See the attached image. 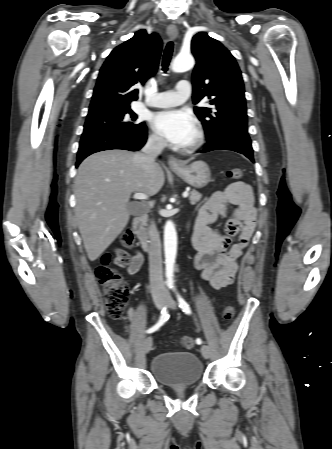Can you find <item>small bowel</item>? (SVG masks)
<instances>
[{
	"instance_id": "small-bowel-1",
	"label": "small bowel",
	"mask_w": 332,
	"mask_h": 449,
	"mask_svg": "<svg viewBox=\"0 0 332 449\" xmlns=\"http://www.w3.org/2000/svg\"><path fill=\"white\" fill-rule=\"evenodd\" d=\"M235 209L229 213V206ZM227 217L225 233L213 225ZM256 224V211L253 206L251 189L242 182L232 183L218 191L201 206L194 220L193 245L197 251L195 266L209 287L221 290L233 283L238 270V261L248 246ZM237 235L236 241L231 237ZM127 263L124 265L130 275L141 268L143 257L135 252H123ZM120 266V265H119Z\"/></svg>"
}]
</instances>
